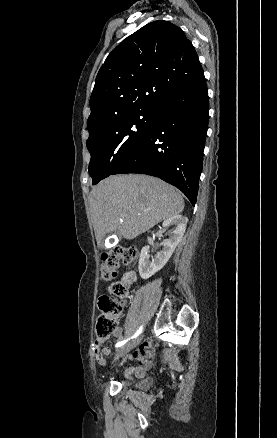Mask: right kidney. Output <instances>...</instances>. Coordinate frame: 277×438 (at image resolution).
I'll list each match as a JSON object with an SVG mask.
<instances>
[{
  "mask_svg": "<svg viewBox=\"0 0 277 438\" xmlns=\"http://www.w3.org/2000/svg\"><path fill=\"white\" fill-rule=\"evenodd\" d=\"M188 218H184V216H172V218H167L165 222H163V228H167V226H173L168 240H164L162 242V250L157 252L155 256H150L149 254V246H144L141 250L140 260H139V274L143 280H148L151 276H154L156 272L162 270L163 266L167 264L169 258H171L176 246H178L181 238H183L187 226Z\"/></svg>",
  "mask_w": 277,
  "mask_h": 438,
  "instance_id": "ca27d5eb",
  "label": "right kidney"
}]
</instances>
